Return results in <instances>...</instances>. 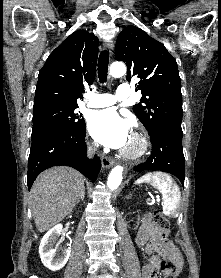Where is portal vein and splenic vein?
<instances>
[{
    "label": "portal vein and splenic vein",
    "instance_id": "portal-vein-and-splenic-vein-1",
    "mask_svg": "<svg viewBox=\"0 0 221 278\" xmlns=\"http://www.w3.org/2000/svg\"><path fill=\"white\" fill-rule=\"evenodd\" d=\"M156 198H159V197H156ZM152 200H153V201H155V198H154V197H152Z\"/></svg>",
    "mask_w": 221,
    "mask_h": 278
}]
</instances>
